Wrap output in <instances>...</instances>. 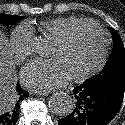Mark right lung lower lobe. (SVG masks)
<instances>
[{"mask_svg": "<svg viewBox=\"0 0 125 125\" xmlns=\"http://www.w3.org/2000/svg\"><path fill=\"white\" fill-rule=\"evenodd\" d=\"M18 100L12 101L8 106L0 113V125H16L19 117V102L24 97H28L27 91L21 90L19 83L17 84Z\"/></svg>", "mask_w": 125, "mask_h": 125, "instance_id": "1", "label": "right lung lower lobe"}]
</instances>
